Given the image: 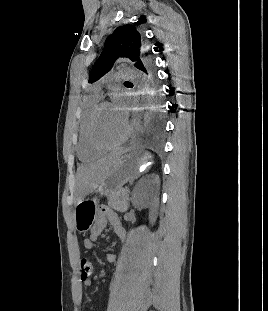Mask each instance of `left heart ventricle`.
<instances>
[{"instance_id":"obj_1","label":"left heart ventricle","mask_w":268,"mask_h":311,"mask_svg":"<svg viewBox=\"0 0 268 311\" xmlns=\"http://www.w3.org/2000/svg\"><path fill=\"white\" fill-rule=\"evenodd\" d=\"M127 121H125L112 105L104 107L96 121L97 138L106 144L119 140L125 133Z\"/></svg>"}]
</instances>
